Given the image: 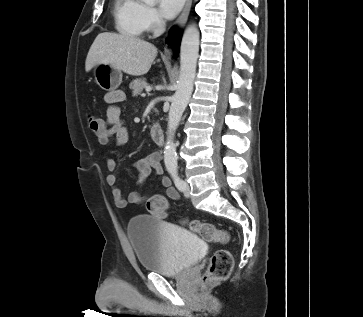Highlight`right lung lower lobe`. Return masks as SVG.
<instances>
[{"mask_svg":"<svg viewBox=\"0 0 363 317\" xmlns=\"http://www.w3.org/2000/svg\"><path fill=\"white\" fill-rule=\"evenodd\" d=\"M169 42H170L171 45H173V48H174L175 52H177L179 39L177 37V34H175L173 30L170 32Z\"/></svg>","mask_w":363,"mask_h":317,"instance_id":"obj_1","label":"right lung lower lobe"}]
</instances>
